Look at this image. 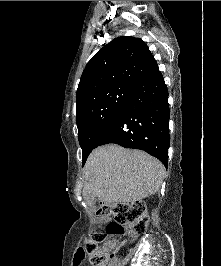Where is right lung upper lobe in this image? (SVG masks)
Listing matches in <instances>:
<instances>
[{
  "label": "right lung upper lobe",
  "mask_w": 221,
  "mask_h": 266,
  "mask_svg": "<svg viewBox=\"0 0 221 266\" xmlns=\"http://www.w3.org/2000/svg\"><path fill=\"white\" fill-rule=\"evenodd\" d=\"M158 70L156 60L142 39L117 37L86 65L77 89L76 106L85 96L100 89L118 85L136 87Z\"/></svg>",
  "instance_id": "cb5924a9"
}]
</instances>
